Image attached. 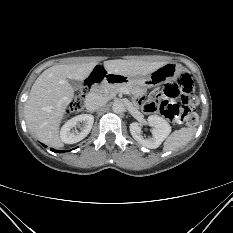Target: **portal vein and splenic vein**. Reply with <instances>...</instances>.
<instances>
[{
	"label": "portal vein and splenic vein",
	"mask_w": 233,
	"mask_h": 233,
	"mask_svg": "<svg viewBox=\"0 0 233 233\" xmlns=\"http://www.w3.org/2000/svg\"><path fill=\"white\" fill-rule=\"evenodd\" d=\"M126 94H128L129 92L128 91H124Z\"/></svg>",
	"instance_id": "18ae733b"
}]
</instances>
